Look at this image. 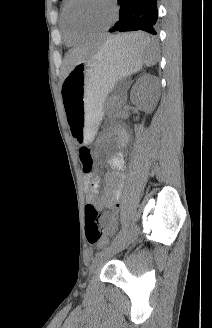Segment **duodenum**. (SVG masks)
Instances as JSON below:
<instances>
[{
  "mask_svg": "<svg viewBox=\"0 0 212 328\" xmlns=\"http://www.w3.org/2000/svg\"><path fill=\"white\" fill-rule=\"evenodd\" d=\"M115 136L119 142L123 143L125 141L124 135L121 132H116Z\"/></svg>",
  "mask_w": 212,
  "mask_h": 328,
  "instance_id": "1",
  "label": "duodenum"
}]
</instances>
